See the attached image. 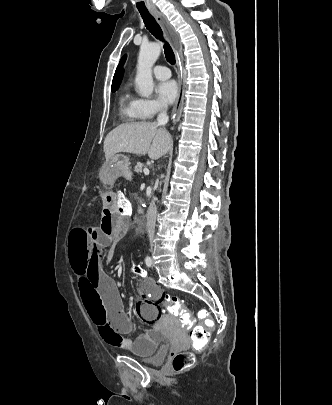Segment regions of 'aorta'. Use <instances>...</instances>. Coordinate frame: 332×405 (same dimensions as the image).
I'll return each instance as SVG.
<instances>
[{
    "instance_id": "1",
    "label": "aorta",
    "mask_w": 332,
    "mask_h": 405,
    "mask_svg": "<svg viewBox=\"0 0 332 405\" xmlns=\"http://www.w3.org/2000/svg\"><path fill=\"white\" fill-rule=\"evenodd\" d=\"M161 43L142 44L138 56L135 85L140 95L149 97L154 88L152 67L161 53Z\"/></svg>"
}]
</instances>
